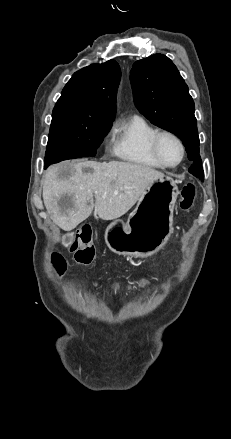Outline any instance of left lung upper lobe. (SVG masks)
<instances>
[{"instance_id": "obj_1", "label": "left lung upper lobe", "mask_w": 231, "mask_h": 439, "mask_svg": "<svg viewBox=\"0 0 231 439\" xmlns=\"http://www.w3.org/2000/svg\"><path fill=\"white\" fill-rule=\"evenodd\" d=\"M130 80L138 110L182 140L192 161L189 172L203 181L194 102L176 66L165 55L155 54L133 64Z\"/></svg>"}]
</instances>
